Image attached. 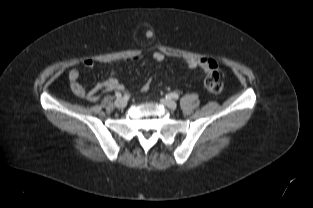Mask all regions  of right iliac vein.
Segmentation results:
<instances>
[{
	"label": "right iliac vein",
	"instance_id": "63e3f726",
	"mask_svg": "<svg viewBox=\"0 0 313 208\" xmlns=\"http://www.w3.org/2000/svg\"><path fill=\"white\" fill-rule=\"evenodd\" d=\"M126 105H127V101L124 98H118L115 101V106L117 108H124V107H126Z\"/></svg>",
	"mask_w": 313,
	"mask_h": 208
}]
</instances>
